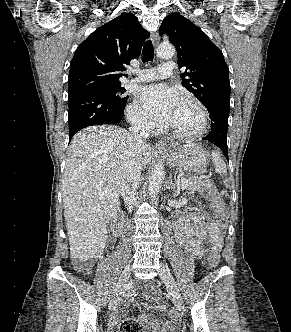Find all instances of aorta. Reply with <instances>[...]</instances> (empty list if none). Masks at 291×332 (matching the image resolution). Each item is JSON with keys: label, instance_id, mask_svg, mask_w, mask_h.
<instances>
[{"label": "aorta", "instance_id": "aorta-1", "mask_svg": "<svg viewBox=\"0 0 291 332\" xmlns=\"http://www.w3.org/2000/svg\"><path fill=\"white\" fill-rule=\"evenodd\" d=\"M175 55V48L171 44H160L159 47L157 48V56L162 58V59H170ZM164 165L162 162H158L152 171L151 178L149 181V196L152 199H155L156 196L158 195L163 180H164Z\"/></svg>", "mask_w": 291, "mask_h": 332}]
</instances>
